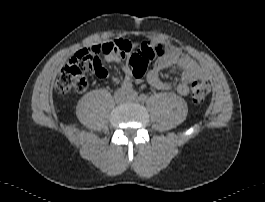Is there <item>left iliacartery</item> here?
Listing matches in <instances>:
<instances>
[{"label":"left iliac artery","instance_id":"obj_1","mask_svg":"<svg viewBox=\"0 0 265 202\" xmlns=\"http://www.w3.org/2000/svg\"><path fill=\"white\" fill-rule=\"evenodd\" d=\"M139 100L142 101V102H145L147 100V96L145 94H141L139 96Z\"/></svg>","mask_w":265,"mask_h":202}]
</instances>
